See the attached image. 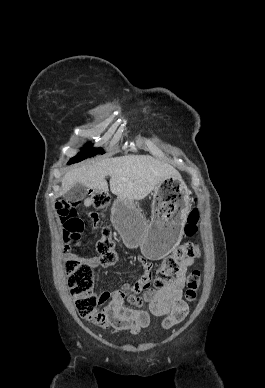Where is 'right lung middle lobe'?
I'll return each mask as SVG.
<instances>
[{
  "label": "right lung middle lobe",
  "mask_w": 265,
  "mask_h": 388,
  "mask_svg": "<svg viewBox=\"0 0 265 388\" xmlns=\"http://www.w3.org/2000/svg\"><path fill=\"white\" fill-rule=\"evenodd\" d=\"M87 148H84L81 153H79L77 156L73 157L68 164L76 163L81 160H84L88 157H92L96 154H103V150L101 148H92V144H87Z\"/></svg>",
  "instance_id": "dd1d6c3e"
}]
</instances>
